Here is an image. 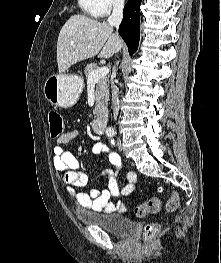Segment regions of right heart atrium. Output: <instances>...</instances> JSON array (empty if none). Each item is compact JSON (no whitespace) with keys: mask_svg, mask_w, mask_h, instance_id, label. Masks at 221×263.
Segmentation results:
<instances>
[{"mask_svg":"<svg viewBox=\"0 0 221 263\" xmlns=\"http://www.w3.org/2000/svg\"><path fill=\"white\" fill-rule=\"evenodd\" d=\"M96 1L100 15H108L111 12L120 9L124 4V0H96Z\"/></svg>","mask_w":221,"mask_h":263,"instance_id":"1","label":"right heart atrium"}]
</instances>
